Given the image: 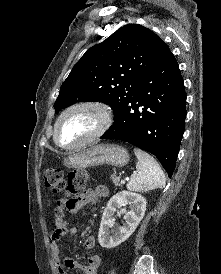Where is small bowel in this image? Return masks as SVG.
I'll use <instances>...</instances> for the list:
<instances>
[{
  "label": "small bowel",
  "mask_w": 221,
  "mask_h": 274,
  "mask_svg": "<svg viewBox=\"0 0 221 274\" xmlns=\"http://www.w3.org/2000/svg\"><path fill=\"white\" fill-rule=\"evenodd\" d=\"M108 189L105 186H98L94 190H87L75 199H60L54 208L55 230L51 236V250L55 259L59 274H67L66 269L80 268L85 274H99L101 257L92 254L87 257L86 264H79L70 257L62 258L61 243L64 239L76 234L77 229L66 219L65 214L69 212L76 214L81 208L88 204H96L100 199L107 197ZM96 240L94 236H88L84 241V249L89 252L94 249Z\"/></svg>",
  "instance_id": "c3829d8e"
}]
</instances>
